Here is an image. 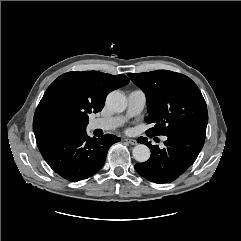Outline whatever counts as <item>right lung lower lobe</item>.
I'll use <instances>...</instances> for the list:
<instances>
[{
    "instance_id": "obj_1",
    "label": "right lung lower lobe",
    "mask_w": 241,
    "mask_h": 241,
    "mask_svg": "<svg viewBox=\"0 0 241 241\" xmlns=\"http://www.w3.org/2000/svg\"><path fill=\"white\" fill-rule=\"evenodd\" d=\"M120 138L87 136L86 129L54 132L36 139L39 151L52 170L77 182L98 172L105 163L108 149Z\"/></svg>"
}]
</instances>
